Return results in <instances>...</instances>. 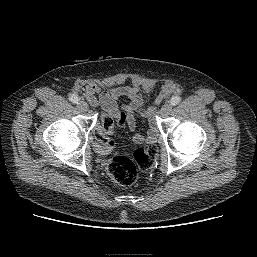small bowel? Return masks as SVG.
Returning a JSON list of instances; mask_svg holds the SVG:
<instances>
[{
	"mask_svg": "<svg viewBox=\"0 0 257 257\" xmlns=\"http://www.w3.org/2000/svg\"><path fill=\"white\" fill-rule=\"evenodd\" d=\"M173 84L167 82L163 87V93L169 94L173 91ZM84 96L91 106H101L107 115L117 118L125 117V122L137 143H153L158 135V128L152 108L148 107L146 100L135 86L113 87L104 89L96 84H88L84 88ZM123 97L128 102L120 103ZM141 117L147 123L146 133H136V118Z\"/></svg>",
	"mask_w": 257,
	"mask_h": 257,
	"instance_id": "obj_1",
	"label": "small bowel"
}]
</instances>
